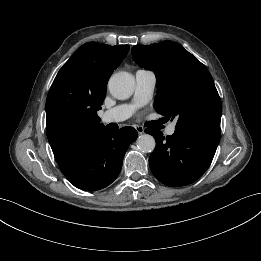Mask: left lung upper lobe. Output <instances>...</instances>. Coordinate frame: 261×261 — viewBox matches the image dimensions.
<instances>
[{
  "label": "left lung upper lobe",
  "instance_id": "left-lung-upper-lobe-1",
  "mask_svg": "<svg viewBox=\"0 0 261 261\" xmlns=\"http://www.w3.org/2000/svg\"><path fill=\"white\" fill-rule=\"evenodd\" d=\"M132 56L154 70L156 111L176 118L175 130L220 136L221 100L211 74L195 56L172 41L134 46Z\"/></svg>",
  "mask_w": 261,
  "mask_h": 261
}]
</instances>
